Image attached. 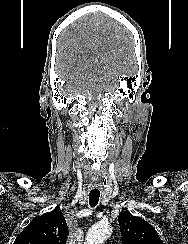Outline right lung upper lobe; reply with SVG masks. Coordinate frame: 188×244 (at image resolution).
I'll return each instance as SVG.
<instances>
[{"mask_svg":"<svg viewBox=\"0 0 188 244\" xmlns=\"http://www.w3.org/2000/svg\"><path fill=\"white\" fill-rule=\"evenodd\" d=\"M68 227L62 212H51L35 217L16 237L14 244H65Z\"/></svg>","mask_w":188,"mask_h":244,"instance_id":"1","label":"right lung upper lobe"}]
</instances>
